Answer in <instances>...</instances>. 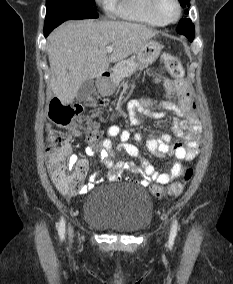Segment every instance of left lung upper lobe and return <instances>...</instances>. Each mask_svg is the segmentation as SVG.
<instances>
[{
  "instance_id": "1",
  "label": "left lung upper lobe",
  "mask_w": 233,
  "mask_h": 284,
  "mask_svg": "<svg viewBox=\"0 0 233 284\" xmlns=\"http://www.w3.org/2000/svg\"><path fill=\"white\" fill-rule=\"evenodd\" d=\"M182 7L188 6L190 7V0H179ZM188 13V11H187ZM177 32L179 34L185 35L190 41H193L195 36V28L194 24L191 22L190 19H181L178 27Z\"/></svg>"
}]
</instances>
